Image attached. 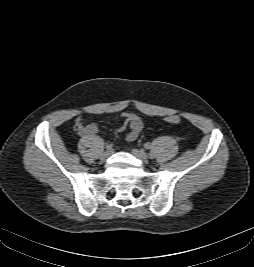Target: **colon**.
Returning <instances> with one entry per match:
<instances>
[{"label": "colon", "instance_id": "1", "mask_svg": "<svg viewBox=\"0 0 254 267\" xmlns=\"http://www.w3.org/2000/svg\"><path fill=\"white\" fill-rule=\"evenodd\" d=\"M165 121L168 122V123L174 124V123L179 122V117L177 115H175V114L168 115V116L165 117Z\"/></svg>", "mask_w": 254, "mask_h": 267}]
</instances>
